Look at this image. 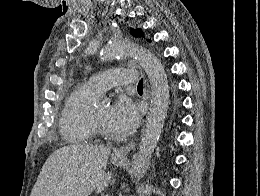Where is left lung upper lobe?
Instances as JSON below:
<instances>
[{
  "instance_id": "obj_1",
  "label": "left lung upper lobe",
  "mask_w": 260,
  "mask_h": 196,
  "mask_svg": "<svg viewBox=\"0 0 260 196\" xmlns=\"http://www.w3.org/2000/svg\"><path fill=\"white\" fill-rule=\"evenodd\" d=\"M131 34L134 37L143 36V32L141 29L131 28ZM178 109H179V100H178V97L176 95H174L173 98L171 99V113H170V118H169L170 130H169L168 138H170V136L172 134L171 131L174 128V124H176L178 121V114H177Z\"/></svg>"
}]
</instances>
